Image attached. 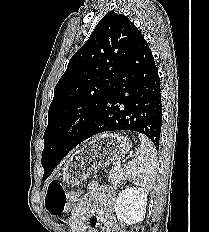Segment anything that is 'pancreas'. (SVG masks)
<instances>
[{
    "mask_svg": "<svg viewBox=\"0 0 209 232\" xmlns=\"http://www.w3.org/2000/svg\"><path fill=\"white\" fill-rule=\"evenodd\" d=\"M124 177H125V174H124L123 169L121 168L112 169L109 175V181L111 182L113 187L116 188L124 180Z\"/></svg>",
    "mask_w": 209,
    "mask_h": 232,
    "instance_id": "pancreas-1",
    "label": "pancreas"
}]
</instances>
